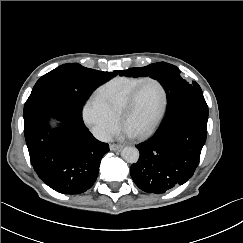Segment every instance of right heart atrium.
Segmentation results:
<instances>
[{
    "mask_svg": "<svg viewBox=\"0 0 243 243\" xmlns=\"http://www.w3.org/2000/svg\"><path fill=\"white\" fill-rule=\"evenodd\" d=\"M83 119L91 132L100 140L109 139L115 132L119 120L95 94L91 95L83 107Z\"/></svg>",
    "mask_w": 243,
    "mask_h": 243,
    "instance_id": "1",
    "label": "right heart atrium"
}]
</instances>
